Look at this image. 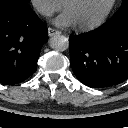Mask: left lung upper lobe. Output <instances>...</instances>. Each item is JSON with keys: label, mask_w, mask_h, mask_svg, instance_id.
<instances>
[{"label": "left lung upper lobe", "mask_w": 128, "mask_h": 128, "mask_svg": "<svg viewBox=\"0 0 128 128\" xmlns=\"http://www.w3.org/2000/svg\"><path fill=\"white\" fill-rule=\"evenodd\" d=\"M125 12H128V0H123L120 9L115 13L114 16H118V15L125 13Z\"/></svg>", "instance_id": "1"}]
</instances>
